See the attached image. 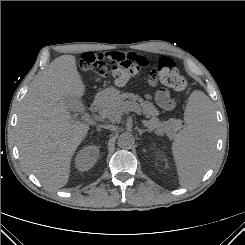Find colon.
<instances>
[{
    "instance_id": "5ec220e1",
    "label": "colon",
    "mask_w": 245,
    "mask_h": 245,
    "mask_svg": "<svg viewBox=\"0 0 245 245\" xmlns=\"http://www.w3.org/2000/svg\"><path fill=\"white\" fill-rule=\"evenodd\" d=\"M80 66L99 77L112 76L118 84H126L136 75L142 66L140 61L130 55L119 60H106L100 54L87 52L80 57ZM153 75L166 86L180 92H188V82L180 74L175 63L167 57L159 58L153 69Z\"/></svg>"
}]
</instances>
